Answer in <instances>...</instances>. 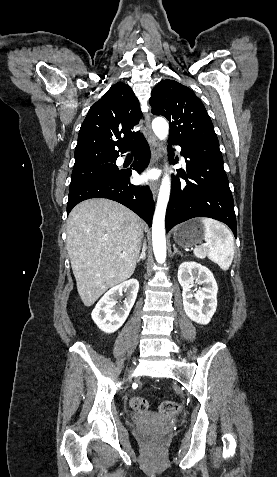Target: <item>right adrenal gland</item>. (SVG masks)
<instances>
[{
  "label": "right adrenal gland",
  "mask_w": 277,
  "mask_h": 477,
  "mask_svg": "<svg viewBox=\"0 0 277 477\" xmlns=\"http://www.w3.org/2000/svg\"><path fill=\"white\" fill-rule=\"evenodd\" d=\"M146 249H147V246H146V242L144 241V243H143V248H142V253L140 254L139 258L137 259V263H139L141 260H145V258H146Z\"/></svg>",
  "instance_id": "2a0ac1e0"
}]
</instances>
